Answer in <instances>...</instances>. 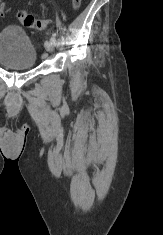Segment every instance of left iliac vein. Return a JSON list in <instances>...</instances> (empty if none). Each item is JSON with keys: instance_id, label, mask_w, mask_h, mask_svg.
Segmentation results:
<instances>
[{"instance_id": "obj_1", "label": "left iliac vein", "mask_w": 163, "mask_h": 235, "mask_svg": "<svg viewBox=\"0 0 163 235\" xmlns=\"http://www.w3.org/2000/svg\"><path fill=\"white\" fill-rule=\"evenodd\" d=\"M55 44L52 39L45 42V48L47 52L52 53L54 51ZM44 57H47V54H44Z\"/></svg>"}]
</instances>
